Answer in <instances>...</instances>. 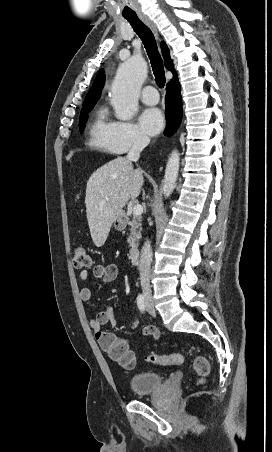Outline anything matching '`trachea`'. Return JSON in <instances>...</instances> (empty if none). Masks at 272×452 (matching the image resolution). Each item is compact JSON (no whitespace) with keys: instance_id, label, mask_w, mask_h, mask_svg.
I'll list each match as a JSON object with an SVG mask.
<instances>
[{"instance_id":"3493384b","label":"trachea","mask_w":272,"mask_h":452,"mask_svg":"<svg viewBox=\"0 0 272 452\" xmlns=\"http://www.w3.org/2000/svg\"><path fill=\"white\" fill-rule=\"evenodd\" d=\"M125 19L142 40L150 59L156 84L163 88L166 82L163 61L152 31L136 15L125 17Z\"/></svg>"}]
</instances>
